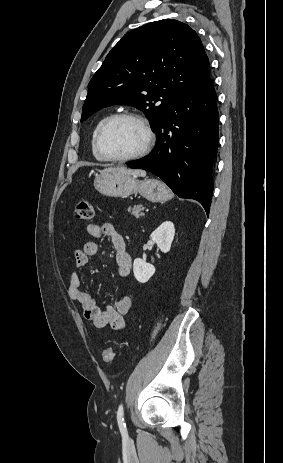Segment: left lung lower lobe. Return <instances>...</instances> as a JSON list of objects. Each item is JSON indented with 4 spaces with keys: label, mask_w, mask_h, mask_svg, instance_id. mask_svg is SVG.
<instances>
[{
    "label": "left lung lower lobe",
    "mask_w": 283,
    "mask_h": 463,
    "mask_svg": "<svg viewBox=\"0 0 283 463\" xmlns=\"http://www.w3.org/2000/svg\"><path fill=\"white\" fill-rule=\"evenodd\" d=\"M218 122L217 96L209 75L170 108L155 130L154 153L128 166L157 175L179 197L199 201L208 215Z\"/></svg>",
    "instance_id": "0a47b994"
}]
</instances>
